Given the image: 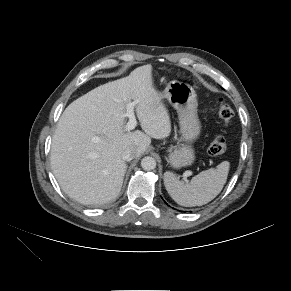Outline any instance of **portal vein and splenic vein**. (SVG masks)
I'll return each mask as SVG.
<instances>
[{"mask_svg":"<svg viewBox=\"0 0 291 291\" xmlns=\"http://www.w3.org/2000/svg\"><path fill=\"white\" fill-rule=\"evenodd\" d=\"M134 106H135V103L132 102V103H128L126 107L127 111H126L125 116L129 118V121L125 126L126 131L133 130L138 124L135 114H134ZM190 175H191V172L189 171L185 172L183 175L184 180L187 181V177H189Z\"/></svg>","mask_w":291,"mask_h":291,"instance_id":"1","label":"portal vein and splenic vein"}]
</instances>
